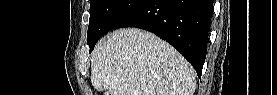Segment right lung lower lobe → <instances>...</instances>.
<instances>
[{"label": "right lung lower lobe", "mask_w": 277, "mask_h": 95, "mask_svg": "<svg viewBox=\"0 0 277 95\" xmlns=\"http://www.w3.org/2000/svg\"><path fill=\"white\" fill-rule=\"evenodd\" d=\"M212 0H144L113 29L137 27L174 46L201 76L211 24Z\"/></svg>", "instance_id": "1"}]
</instances>
